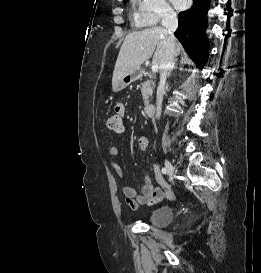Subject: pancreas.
I'll return each instance as SVG.
<instances>
[{
  "mask_svg": "<svg viewBox=\"0 0 261 273\" xmlns=\"http://www.w3.org/2000/svg\"><path fill=\"white\" fill-rule=\"evenodd\" d=\"M149 76V79L145 80L142 83L141 93L143 96L144 104L147 105L149 103V97L153 93V88L155 86L154 83V76L151 74H147Z\"/></svg>",
  "mask_w": 261,
  "mask_h": 273,
  "instance_id": "obj_1",
  "label": "pancreas"
}]
</instances>
